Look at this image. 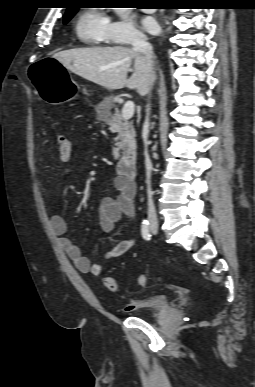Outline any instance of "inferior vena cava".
I'll use <instances>...</instances> for the list:
<instances>
[{"instance_id": "1", "label": "inferior vena cava", "mask_w": 255, "mask_h": 387, "mask_svg": "<svg viewBox=\"0 0 255 387\" xmlns=\"http://www.w3.org/2000/svg\"><path fill=\"white\" fill-rule=\"evenodd\" d=\"M133 49L141 53L145 60V70L147 74V84L143 90H140V95H147L150 93L152 84L154 81V72H153V48L150 43L147 42L145 37H136L133 41ZM149 114H150V105L146 106V119L144 122V144H145V166H146V183H147V194H148V219L150 222H157V214L155 206L152 199V190L150 186L151 178V168L152 163L147 152L148 144V132H149Z\"/></svg>"}]
</instances>
